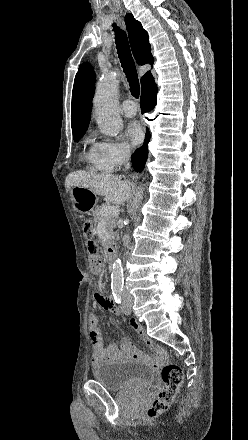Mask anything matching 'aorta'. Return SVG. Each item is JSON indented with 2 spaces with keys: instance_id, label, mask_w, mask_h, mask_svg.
I'll return each instance as SVG.
<instances>
[{
  "instance_id": "1",
  "label": "aorta",
  "mask_w": 248,
  "mask_h": 440,
  "mask_svg": "<svg viewBox=\"0 0 248 440\" xmlns=\"http://www.w3.org/2000/svg\"><path fill=\"white\" fill-rule=\"evenodd\" d=\"M95 119L100 131L108 136L116 137L121 129L122 120L118 112V82L112 74L104 76L97 86L94 97ZM143 198V188L138 187L132 209L137 210ZM111 287L120 289L123 286V267L120 258L113 264Z\"/></svg>"
}]
</instances>
